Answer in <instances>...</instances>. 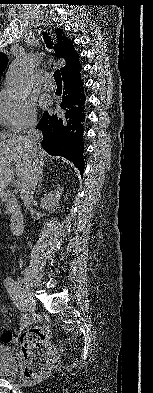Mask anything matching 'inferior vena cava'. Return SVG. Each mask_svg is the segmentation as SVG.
<instances>
[{
	"label": "inferior vena cava",
	"instance_id": "1",
	"mask_svg": "<svg viewBox=\"0 0 153 393\" xmlns=\"http://www.w3.org/2000/svg\"><path fill=\"white\" fill-rule=\"evenodd\" d=\"M27 139L29 148L32 150V154L36 157L33 159L34 167L30 174L25 178L21 187V199L24 201L33 198L36 186L42 175L43 162L45 161V156L40 144L43 139L42 133L33 126L28 131Z\"/></svg>",
	"mask_w": 153,
	"mask_h": 393
}]
</instances>
